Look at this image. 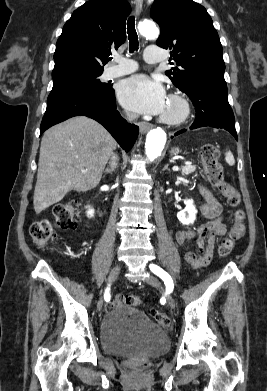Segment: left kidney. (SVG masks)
Returning a JSON list of instances; mask_svg holds the SVG:
<instances>
[{
  "instance_id": "left-kidney-1",
  "label": "left kidney",
  "mask_w": 267,
  "mask_h": 391,
  "mask_svg": "<svg viewBox=\"0 0 267 391\" xmlns=\"http://www.w3.org/2000/svg\"><path fill=\"white\" fill-rule=\"evenodd\" d=\"M185 205V209L177 213V218L182 224H193L196 220L197 209L192 199H186Z\"/></svg>"
}]
</instances>
